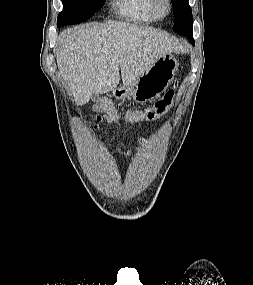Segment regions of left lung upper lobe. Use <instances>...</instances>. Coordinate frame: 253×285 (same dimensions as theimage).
Listing matches in <instances>:
<instances>
[{"label":"left lung upper lobe","instance_id":"1","mask_svg":"<svg viewBox=\"0 0 253 285\" xmlns=\"http://www.w3.org/2000/svg\"><path fill=\"white\" fill-rule=\"evenodd\" d=\"M171 1L175 15L173 30L180 35L187 36V34L193 31L192 11L188 0Z\"/></svg>","mask_w":253,"mask_h":285}]
</instances>
